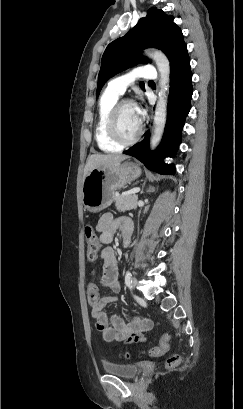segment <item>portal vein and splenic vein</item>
Segmentation results:
<instances>
[{"label":"portal vein and splenic vein","mask_w":243,"mask_h":409,"mask_svg":"<svg viewBox=\"0 0 243 409\" xmlns=\"http://www.w3.org/2000/svg\"><path fill=\"white\" fill-rule=\"evenodd\" d=\"M139 191H140V188H134L133 190H131V191L127 192V193H124V195L135 194V193H138Z\"/></svg>","instance_id":"portal-vein-and-splenic-vein-1"}]
</instances>
